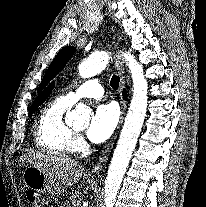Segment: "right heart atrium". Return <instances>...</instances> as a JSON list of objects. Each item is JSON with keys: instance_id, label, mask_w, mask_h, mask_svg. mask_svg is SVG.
I'll use <instances>...</instances> for the list:
<instances>
[{"instance_id": "obj_1", "label": "right heart atrium", "mask_w": 206, "mask_h": 207, "mask_svg": "<svg viewBox=\"0 0 206 207\" xmlns=\"http://www.w3.org/2000/svg\"><path fill=\"white\" fill-rule=\"evenodd\" d=\"M75 142H76V150H83L85 148V142L80 135H76Z\"/></svg>"}]
</instances>
